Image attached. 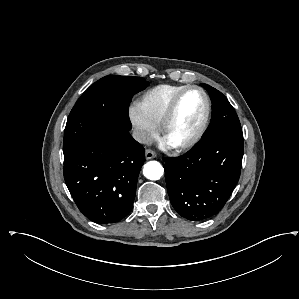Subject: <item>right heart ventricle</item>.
<instances>
[{
	"instance_id": "right-heart-ventricle-1",
	"label": "right heart ventricle",
	"mask_w": 299,
	"mask_h": 299,
	"mask_svg": "<svg viewBox=\"0 0 299 299\" xmlns=\"http://www.w3.org/2000/svg\"><path fill=\"white\" fill-rule=\"evenodd\" d=\"M186 85L162 84L147 90L139 99L138 106L155 125H159L174 96Z\"/></svg>"
}]
</instances>
